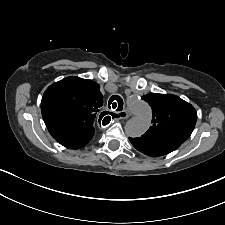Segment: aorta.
Listing matches in <instances>:
<instances>
[{
  "label": "aorta",
  "instance_id": "1",
  "mask_svg": "<svg viewBox=\"0 0 225 225\" xmlns=\"http://www.w3.org/2000/svg\"><path fill=\"white\" fill-rule=\"evenodd\" d=\"M127 105L135 116L126 123L125 132L130 137H140L151 125V109L139 98L128 99Z\"/></svg>",
  "mask_w": 225,
  "mask_h": 225
}]
</instances>
